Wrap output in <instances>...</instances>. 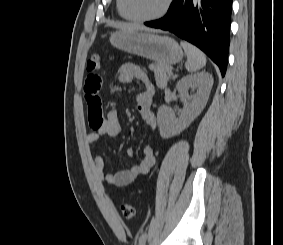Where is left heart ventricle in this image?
Returning a JSON list of instances; mask_svg holds the SVG:
<instances>
[{
	"label": "left heart ventricle",
	"mask_w": 283,
	"mask_h": 245,
	"mask_svg": "<svg viewBox=\"0 0 283 245\" xmlns=\"http://www.w3.org/2000/svg\"><path fill=\"white\" fill-rule=\"evenodd\" d=\"M165 0H127L130 14L136 17H149L158 13Z\"/></svg>",
	"instance_id": "1"
}]
</instances>
